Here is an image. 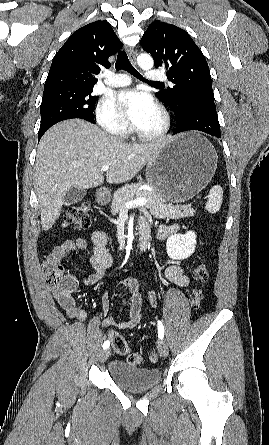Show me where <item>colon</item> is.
I'll list each match as a JSON object with an SVG mask.
<instances>
[{
	"label": "colon",
	"mask_w": 269,
	"mask_h": 445,
	"mask_svg": "<svg viewBox=\"0 0 269 445\" xmlns=\"http://www.w3.org/2000/svg\"><path fill=\"white\" fill-rule=\"evenodd\" d=\"M90 205L82 202L70 207L63 216V225L65 227H73L78 230L86 229L90 226L91 218ZM44 279L48 287L55 288L64 293V301L69 302L68 295L71 294L76 284L68 275L64 274L63 268L59 263L52 262L47 257L43 263ZM194 288L190 295V305L193 309H198L203 302V286L208 281L209 269L206 261H201L192 272ZM109 339L112 348L120 355H127V362L132 366H138L142 363V356L139 353L130 352L129 345L126 340L118 333L109 332ZM151 363L158 361V355L151 352L148 355Z\"/></svg>",
	"instance_id": "1"
}]
</instances>
